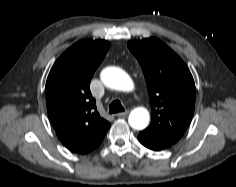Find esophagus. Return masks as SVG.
I'll return each mask as SVG.
<instances>
[{"instance_id": "esophagus-1", "label": "esophagus", "mask_w": 236, "mask_h": 187, "mask_svg": "<svg viewBox=\"0 0 236 187\" xmlns=\"http://www.w3.org/2000/svg\"><path fill=\"white\" fill-rule=\"evenodd\" d=\"M129 114V111H125V112H120V113H117L115 116L117 117H125Z\"/></svg>"}]
</instances>
